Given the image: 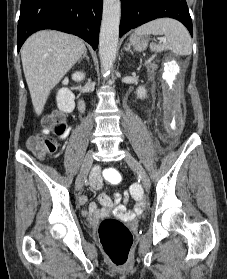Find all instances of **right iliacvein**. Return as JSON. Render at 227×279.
Listing matches in <instances>:
<instances>
[{"instance_id": "63e3f726", "label": "right iliac vein", "mask_w": 227, "mask_h": 279, "mask_svg": "<svg viewBox=\"0 0 227 279\" xmlns=\"http://www.w3.org/2000/svg\"><path fill=\"white\" fill-rule=\"evenodd\" d=\"M93 162V151H90L84 158V161L82 163L80 172L77 176L76 182H75V190L79 191L83 187L85 178L88 174L89 168L91 167V164Z\"/></svg>"}]
</instances>
